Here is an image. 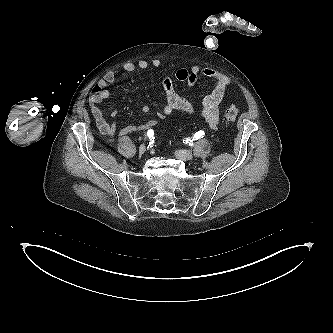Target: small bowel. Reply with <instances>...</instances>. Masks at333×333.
Returning a JSON list of instances; mask_svg holds the SVG:
<instances>
[{
  "instance_id": "small-bowel-1",
  "label": "small bowel",
  "mask_w": 333,
  "mask_h": 333,
  "mask_svg": "<svg viewBox=\"0 0 333 333\" xmlns=\"http://www.w3.org/2000/svg\"><path fill=\"white\" fill-rule=\"evenodd\" d=\"M158 68L161 66V61L153 59L151 61L138 60L137 62H126L123 69L126 72H134L138 69H147L148 67ZM200 76L213 80L214 86L209 94H207L200 107L195 106L182 96H180L173 85L172 79L165 77L163 79V89L166 103L162 111L156 114L157 119H164L174 111H181L188 114L200 115L209 125L210 128L216 129L219 123V105L224 97L225 91L230 84L229 78L212 68H200L192 66L189 69L180 68L175 73V78L187 84L188 87H193ZM116 81V72L108 71L104 77L95 85L90 96V105L95 123L99 131L109 140H113L117 136H125L134 132L147 131L153 128L157 119H150L141 125H128L117 127L114 122H107L103 116L100 104L109 97L108 86ZM143 113L149 112L148 106H143ZM116 112L111 113V117H116Z\"/></svg>"
}]
</instances>
